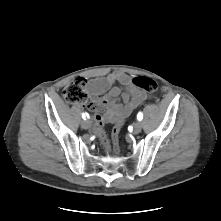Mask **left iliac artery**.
<instances>
[{
	"instance_id": "obj_1",
	"label": "left iliac artery",
	"mask_w": 221,
	"mask_h": 221,
	"mask_svg": "<svg viewBox=\"0 0 221 221\" xmlns=\"http://www.w3.org/2000/svg\"><path fill=\"white\" fill-rule=\"evenodd\" d=\"M137 119H138L139 121H141V120L143 119V114H142L141 112H139V113L137 114Z\"/></svg>"
}]
</instances>
